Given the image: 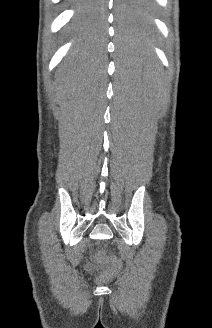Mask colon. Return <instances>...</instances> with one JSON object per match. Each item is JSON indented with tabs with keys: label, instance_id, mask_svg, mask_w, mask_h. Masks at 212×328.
Instances as JSON below:
<instances>
[{
	"label": "colon",
	"instance_id": "obj_1",
	"mask_svg": "<svg viewBox=\"0 0 212 328\" xmlns=\"http://www.w3.org/2000/svg\"><path fill=\"white\" fill-rule=\"evenodd\" d=\"M97 260L103 264L108 265L111 274L117 273L122 267L121 261L105 250H100L97 253Z\"/></svg>",
	"mask_w": 212,
	"mask_h": 328
}]
</instances>
